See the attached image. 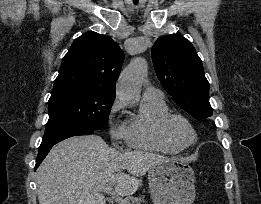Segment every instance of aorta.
Returning <instances> with one entry per match:
<instances>
[{
    "mask_svg": "<svg viewBox=\"0 0 261 204\" xmlns=\"http://www.w3.org/2000/svg\"><path fill=\"white\" fill-rule=\"evenodd\" d=\"M147 73V62L143 58L134 59L121 73L117 96L128 105H135L140 99L141 84Z\"/></svg>",
    "mask_w": 261,
    "mask_h": 204,
    "instance_id": "762f6f07",
    "label": "aorta"
}]
</instances>
